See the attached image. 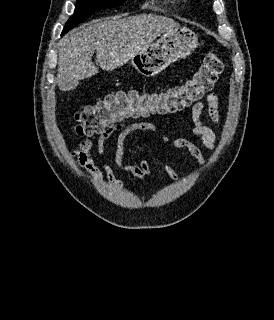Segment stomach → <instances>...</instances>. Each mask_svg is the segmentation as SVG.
<instances>
[{
  "instance_id": "stomach-1",
  "label": "stomach",
  "mask_w": 274,
  "mask_h": 320,
  "mask_svg": "<svg viewBox=\"0 0 274 320\" xmlns=\"http://www.w3.org/2000/svg\"><path fill=\"white\" fill-rule=\"evenodd\" d=\"M198 46V38L188 28L168 30L155 44H150L146 52L131 58L132 66L146 78L157 76L169 64L190 56Z\"/></svg>"
}]
</instances>
